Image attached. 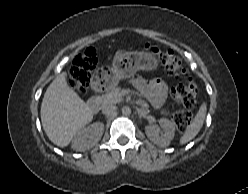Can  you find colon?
Listing matches in <instances>:
<instances>
[{"label":"colon","instance_id":"1","mask_svg":"<svg viewBox=\"0 0 248 194\" xmlns=\"http://www.w3.org/2000/svg\"><path fill=\"white\" fill-rule=\"evenodd\" d=\"M147 49L158 59L160 64L164 66L170 75L180 80L179 84L172 88L171 97L175 102L181 104L185 110L173 112L171 118L176 128L179 131H184L189 127L192 121V113L190 110L196 106V85L187 71L182 67L179 58L171 51L155 46H148ZM96 65V55L91 49L76 58L71 69L70 83L78 93H86ZM166 112L168 113L169 110H166Z\"/></svg>","mask_w":248,"mask_h":194}]
</instances>
